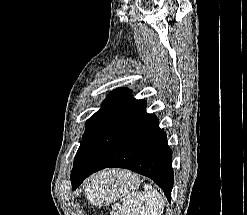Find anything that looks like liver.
Returning <instances> with one entry per match:
<instances>
[{"mask_svg":"<svg viewBox=\"0 0 247 215\" xmlns=\"http://www.w3.org/2000/svg\"><path fill=\"white\" fill-rule=\"evenodd\" d=\"M115 172H116V171H114V170H113V171H108V173H115ZM120 174H121V175H124L125 172L121 171Z\"/></svg>","mask_w":247,"mask_h":215,"instance_id":"obj_1","label":"liver"}]
</instances>
